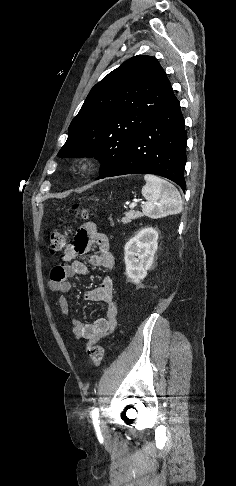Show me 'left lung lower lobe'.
<instances>
[{
  "instance_id": "1",
  "label": "left lung lower lobe",
  "mask_w": 236,
  "mask_h": 486,
  "mask_svg": "<svg viewBox=\"0 0 236 486\" xmlns=\"http://www.w3.org/2000/svg\"><path fill=\"white\" fill-rule=\"evenodd\" d=\"M187 134L175 95L135 136L116 166L103 178L125 174H155L186 189L184 168ZM102 179V178H99Z\"/></svg>"
}]
</instances>
